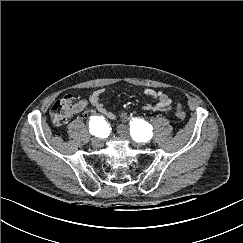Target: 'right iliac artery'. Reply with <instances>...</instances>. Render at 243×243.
<instances>
[{
  "label": "right iliac artery",
  "instance_id": "obj_1",
  "mask_svg": "<svg viewBox=\"0 0 243 243\" xmlns=\"http://www.w3.org/2000/svg\"><path fill=\"white\" fill-rule=\"evenodd\" d=\"M106 127V122L102 117L93 116L89 122V132L95 136H100L103 129Z\"/></svg>",
  "mask_w": 243,
  "mask_h": 243
}]
</instances>
